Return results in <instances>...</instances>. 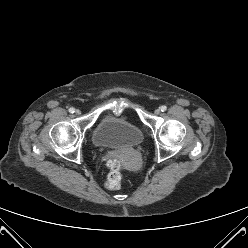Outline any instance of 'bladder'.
<instances>
[{
  "label": "bladder",
  "mask_w": 248,
  "mask_h": 248,
  "mask_svg": "<svg viewBox=\"0 0 248 248\" xmlns=\"http://www.w3.org/2000/svg\"><path fill=\"white\" fill-rule=\"evenodd\" d=\"M93 143L104 148H134L143 142L138 126L118 115L104 117L92 133Z\"/></svg>",
  "instance_id": "31cf9c89"
}]
</instances>
